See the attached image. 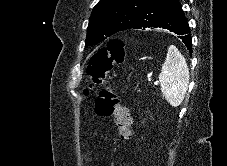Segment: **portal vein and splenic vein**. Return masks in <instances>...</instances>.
I'll use <instances>...</instances> for the list:
<instances>
[{
    "instance_id": "obj_1",
    "label": "portal vein and splenic vein",
    "mask_w": 227,
    "mask_h": 166,
    "mask_svg": "<svg viewBox=\"0 0 227 166\" xmlns=\"http://www.w3.org/2000/svg\"><path fill=\"white\" fill-rule=\"evenodd\" d=\"M158 83H159V81H155V82H154V85H158Z\"/></svg>"
}]
</instances>
